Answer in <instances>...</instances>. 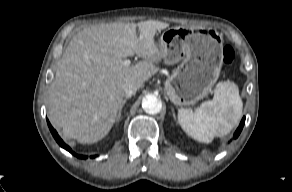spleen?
<instances>
[{"label": "spleen", "instance_id": "3e777b00", "mask_svg": "<svg viewBox=\"0 0 292 192\" xmlns=\"http://www.w3.org/2000/svg\"><path fill=\"white\" fill-rule=\"evenodd\" d=\"M242 100L234 82L223 81L216 85L214 97L203 102L194 111L178 110V122L193 139L210 143L214 137L230 133L242 115Z\"/></svg>", "mask_w": 292, "mask_h": 192}]
</instances>
